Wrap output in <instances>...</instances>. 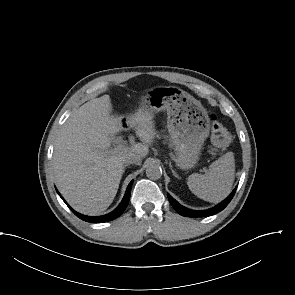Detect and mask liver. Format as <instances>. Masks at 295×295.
Masks as SVG:
<instances>
[{
    "label": "liver",
    "instance_id": "1",
    "mask_svg": "<svg viewBox=\"0 0 295 295\" xmlns=\"http://www.w3.org/2000/svg\"><path fill=\"white\" fill-rule=\"evenodd\" d=\"M122 116L112 115L109 95L94 98L71 113L57 137L53 153L54 178L60 193L76 211L96 215L113 202L129 153L142 157L153 142V117L135 113L128 120L143 144L130 152L108 153Z\"/></svg>",
    "mask_w": 295,
    "mask_h": 295
}]
</instances>
